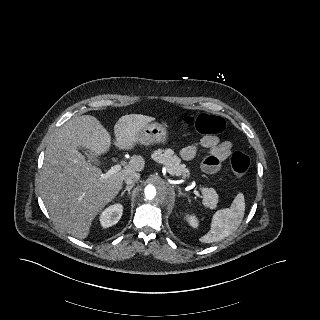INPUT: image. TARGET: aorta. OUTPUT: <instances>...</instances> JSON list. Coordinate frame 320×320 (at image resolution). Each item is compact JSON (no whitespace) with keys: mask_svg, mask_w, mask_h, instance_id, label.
Instances as JSON below:
<instances>
[{"mask_svg":"<svg viewBox=\"0 0 320 320\" xmlns=\"http://www.w3.org/2000/svg\"><path fill=\"white\" fill-rule=\"evenodd\" d=\"M172 196L171 187L161 178H154L144 188L142 200L152 209H161Z\"/></svg>","mask_w":320,"mask_h":320,"instance_id":"762f6f07","label":"aorta"}]
</instances>
